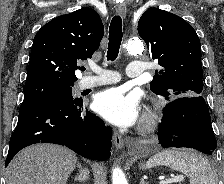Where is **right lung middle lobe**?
Listing matches in <instances>:
<instances>
[{
	"mask_svg": "<svg viewBox=\"0 0 224 184\" xmlns=\"http://www.w3.org/2000/svg\"><path fill=\"white\" fill-rule=\"evenodd\" d=\"M72 86H74V84L50 82L26 84L23 88L24 100L19 111L32 104L47 100H57L62 102L77 101L78 99H74L71 94Z\"/></svg>",
	"mask_w": 224,
	"mask_h": 184,
	"instance_id": "right-lung-middle-lobe-1",
	"label": "right lung middle lobe"
}]
</instances>
